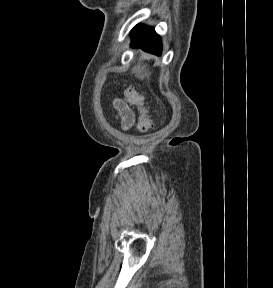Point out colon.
<instances>
[{
	"instance_id": "1",
	"label": "colon",
	"mask_w": 273,
	"mask_h": 288,
	"mask_svg": "<svg viewBox=\"0 0 273 288\" xmlns=\"http://www.w3.org/2000/svg\"><path fill=\"white\" fill-rule=\"evenodd\" d=\"M124 95L126 100L139 111L137 119V130L140 133H147L152 127V119L148 109L145 106L143 95L138 92L134 87L125 89Z\"/></svg>"
}]
</instances>
